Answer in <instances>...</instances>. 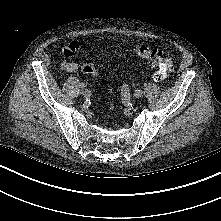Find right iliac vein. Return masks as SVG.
I'll list each match as a JSON object with an SVG mask.
<instances>
[{
	"label": "right iliac vein",
	"instance_id": "1",
	"mask_svg": "<svg viewBox=\"0 0 221 221\" xmlns=\"http://www.w3.org/2000/svg\"><path fill=\"white\" fill-rule=\"evenodd\" d=\"M81 93L84 97H86V89H84L82 85H81Z\"/></svg>",
	"mask_w": 221,
	"mask_h": 221
}]
</instances>
